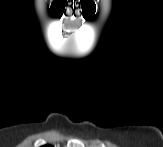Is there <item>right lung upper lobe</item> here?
Returning a JSON list of instances; mask_svg holds the SVG:
<instances>
[{
  "mask_svg": "<svg viewBox=\"0 0 163 147\" xmlns=\"http://www.w3.org/2000/svg\"><path fill=\"white\" fill-rule=\"evenodd\" d=\"M43 147H50V145H45V146H43Z\"/></svg>",
  "mask_w": 163,
  "mask_h": 147,
  "instance_id": "right-lung-upper-lobe-1",
  "label": "right lung upper lobe"
}]
</instances>
